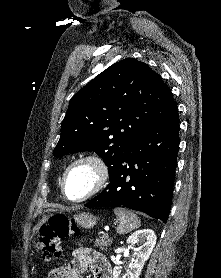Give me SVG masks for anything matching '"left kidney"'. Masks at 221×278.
I'll use <instances>...</instances> for the list:
<instances>
[{"instance_id":"1","label":"left kidney","mask_w":221,"mask_h":278,"mask_svg":"<svg viewBox=\"0 0 221 278\" xmlns=\"http://www.w3.org/2000/svg\"><path fill=\"white\" fill-rule=\"evenodd\" d=\"M156 239L157 237L151 229L138 230L129 236L127 239L128 248H132L135 243H140L138 248H134V256L136 259L133 265L123 275H121V267L119 265L115 266L113 278H139L145 262L155 247Z\"/></svg>"}]
</instances>
